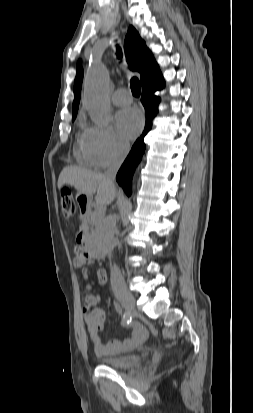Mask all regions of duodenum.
Masks as SVG:
<instances>
[{
    "label": "duodenum",
    "instance_id": "obj_1",
    "mask_svg": "<svg viewBox=\"0 0 253 413\" xmlns=\"http://www.w3.org/2000/svg\"><path fill=\"white\" fill-rule=\"evenodd\" d=\"M80 205H81L82 211L85 213L88 209V205L86 201L81 202ZM78 241L79 243L83 245V250L88 257L93 258V259H100L103 257L102 248L98 244L94 243L93 241L89 239L88 233L86 232V230H82L79 232Z\"/></svg>",
    "mask_w": 253,
    "mask_h": 413
}]
</instances>
